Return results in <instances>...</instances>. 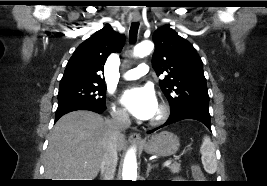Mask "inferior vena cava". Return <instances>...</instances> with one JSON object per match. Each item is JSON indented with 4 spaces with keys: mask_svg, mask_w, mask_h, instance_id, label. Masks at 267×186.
I'll return each instance as SVG.
<instances>
[{
    "mask_svg": "<svg viewBox=\"0 0 267 186\" xmlns=\"http://www.w3.org/2000/svg\"><path fill=\"white\" fill-rule=\"evenodd\" d=\"M107 124L108 135L100 169L102 180H113L118 161V139L123 136L122 132L130 127L131 121L126 112L117 111L112 114V119Z\"/></svg>",
    "mask_w": 267,
    "mask_h": 186,
    "instance_id": "602c4592",
    "label": "inferior vena cava"
}]
</instances>
